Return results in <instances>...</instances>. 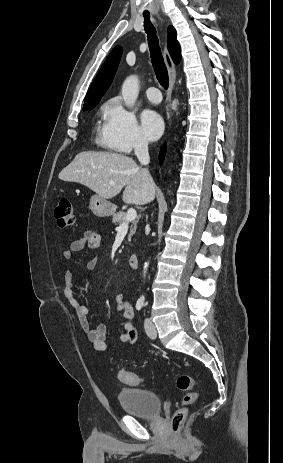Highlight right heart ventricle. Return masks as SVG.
Here are the masks:
<instances>
[{
	"label": "right heart ventricle",
	"mask_w": 283,
	"mask_h": 463,
	"mask_svg": "<svg viewBox=\"0 0 283 463\" xmlns=\"http://www.w3.org/2000/svg\"><path fill=\"white\" fill-rule=\"evenodd\" d=\"M99 133H100V136H101V139H102V142L109 148L111 149H114L112 146L108 145L104 139V135H103V127H100L99 129Z\"/></svg>",
	"instance_id": "right-heart-ventricle-1"
}]
</instances>
